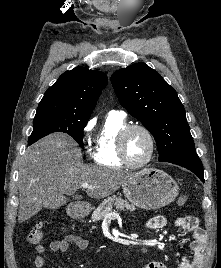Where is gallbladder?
I'll return each instance as SVG.
<instances>
[{
	"label": "gallbladder",
	"mask_w": 221,
	"mask_h": 268,
	"mask_svg": "<svg viewBox=\"0 0 221 268\" xmlns=\"http://www.w3.org/2000/svg\"><path fill=\"white\" fill-rule=\"evenodd\" d=\"M66 202V199H47V202L44 203V206L46 208L51 207L50 209H58L60 208L64 203ZM44 207V208H45Z\"/></svg>",
	"instance_id": "1"
}]
</instances>
